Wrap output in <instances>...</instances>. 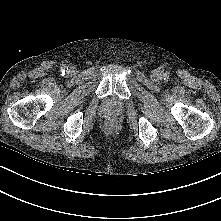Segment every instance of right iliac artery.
<instances>
[{
  "label": "right iliac artery",
  "mask_w": 221,
  "mask_h": 221,
  "mask_svg": "<svg viewBox=\"0 0 221 221\" xmlns=\"http://www.w3.org/2000/svg\"><path fill=\"white\" fill-rule=\"evenodd\" d=\"M62 70V72L65 73V71L68 70L67 66L63 65Z\"/></svg>",
  "instance_id": "82829eb1"
}]
</instances>
